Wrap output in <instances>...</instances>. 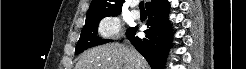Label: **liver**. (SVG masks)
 I'll return each instance as SVG.
<instances>
[{"mask_svg": "<svg viewBox=\"0 0 246 69\" xmlns=\"http://www.w3.org/2000/svg\"><path fill=\"white\" fill-rule=\"evenodd\" d=\"M75 69H149L145 59L132 47L105 44L86 51Z\"/></svg>", "mask_w": 246, "mask_h": 69, "instance_id": "liver-1", "label": "liver"}]
</instances>
